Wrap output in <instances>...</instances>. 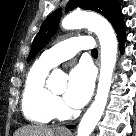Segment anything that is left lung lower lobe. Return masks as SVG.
I'll return each instance as SVG.
<instances>
[{"label":"left lung lower lobe","mask_w":136,"mask_h":136,"mask_svg":"<svg viewBox=\"0 0 136 136\" xmlns=\"http://www.w3.org/2000/svg\"><path fill=\"white\" fill-rule=\"evenodd\" d=\"M115 31H116L117 36H118L120 49H121V51H123V44H124L125 39H126L125 25H124L123 21L115 28ZM71 128H73V127L71 126Z\"/></svg>","instance_id":"0a47b994"}]
</instances>
